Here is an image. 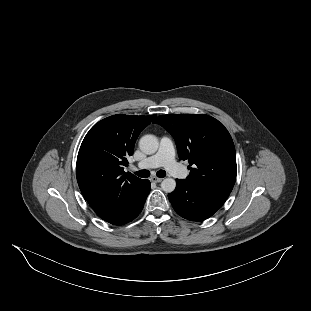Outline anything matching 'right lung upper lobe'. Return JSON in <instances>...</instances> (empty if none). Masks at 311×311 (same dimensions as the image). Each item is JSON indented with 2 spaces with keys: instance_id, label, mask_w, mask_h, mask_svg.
I'll return each instance as SVG.
<instances>
[{
  "instance_id": "cb5924a9",
  "label": "right lung upper lobe",
  "mask_w": 311,
  "mask_h": 311,
  "mask_svg": "<svg viewBox=\"0 0 311 311\" xmlns=\"http://www.w3.org/2000/svg\"><path fill=\"white\" fill-rule=\"evenodd\" d=\"M156 115H113L96 123L86 134L77 157L79 188L99 217L121 207L143 180L125 173L140 132Z\"/></svg>"
}]
</instances>
